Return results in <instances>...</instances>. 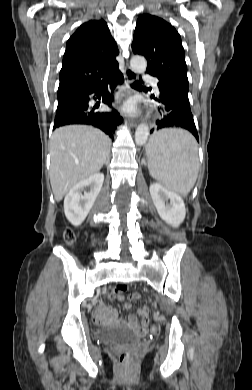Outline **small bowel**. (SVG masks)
<instances>
[{
    "instance_id": "small-bowel-1",
    "label": "small bowel",
    "mask_w": 252,
    "mask_h": 390,
    "mask_svg": "<svg viewBox=\"0 0 252 390\" xmlns=\"http://www.w3.org/2000/svg\"><path fill=\"white\" fill-rule=\"evenodd\" d=\"M107 298L109 300H113L115 298L124 300L123 293H119L117 291L110 292L107 295ZM125 309L127 310L128 314L124 320H121L118 316L117 309L106 305H100L94 312V318L96 321L104 323H119L124 321L137 334H145L149 329V308L147 306H142L138 310L140 320L136 314L131 312L130 304H126Z\"/></svg>"
}]
</instances>
